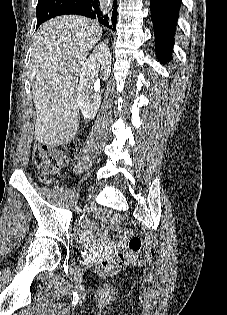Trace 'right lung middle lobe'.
I'll list each match as a JSON object with an SVG mask.
<instances>
[{
    "mask_svg": "<svg viewBox=\"0 0 227 315\" xmlns=\"http://www.w3.org/2000/svg\"><path fill=\"white\" fill-rule=\"evenodd\" d=\"M64 0H38L36 8L37 27L43 22L51 18L53 10H55Z\"/></svg>",
    "mask_w": 227,
    "mask_h": 315,
    "instance_id": "dd1d6c3e",
    "label": "right lung middle lobe"
}]
</instances>
